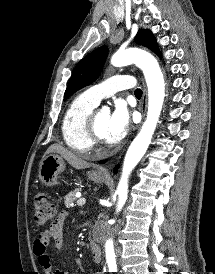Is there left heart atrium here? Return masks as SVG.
I'll return each instance as SVG.
<instances>
[{
    "instance_id": "39dd6f15",
    "label": "left heart atrium",
    "mask_w": 215,
    "mask_h": 274,
    "mask_svg": "<svg viewBox=\"0 0 215 274\" xmlns=\"http://www.w3.org/2000/svg\"><path fill=\"white\" fill-rule=\"evenodd\" d=\"M130 124L129 111L123 103L116 104L109 115L106 139L110 142L120 141L127 133Z\"/></svg>"
}]
</instances>
